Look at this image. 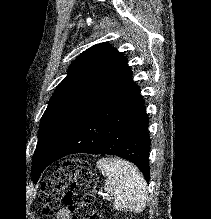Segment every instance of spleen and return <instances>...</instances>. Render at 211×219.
I'll use <instances>...</instances> for the list:
<instances>
[{
	"instance_id": "3e777b00",
	"label": "spleen",
	"mask_w": 211,
	"mask_h": 219,
	"mask_svg": "<svg viewBox=\"0 0 211 219\" xmlns=\"http://www.w3.org/2000/svg\"><path fill=\"white\" fill-rule=\"evenodd\" d=\"M105 179V190L114 196L116 210L141 212L147 202V184L138 169L119 158H102L96 163Z\"/></svg>"
}]
</instances>
